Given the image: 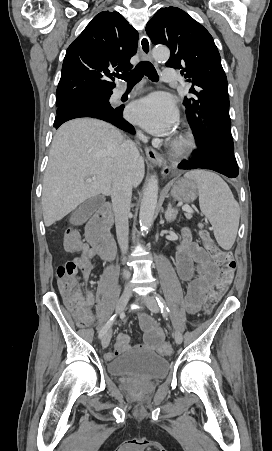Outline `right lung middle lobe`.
Masks as SVG:
<instances>
[{
    "instance_id": "obj_1",
    "label": "right lung middle lobe",
    "mask_w": 272,
    "mask_h": 451,
    "mask_svg": "<svg viewBox=\"0 0 272 451\" xmlns=\"http://www.w3.org/2000/svg\"><path fill=\"white\" fill-rule=\"evenodd\" d=\"M110 98V93L108 94H90L77 97L60 98L56 99L57 114H60L70 108L81 106V105H98V107L107 112H112L115 108L111 107L108 99Z\"/></svg>"
}]
</instances>
